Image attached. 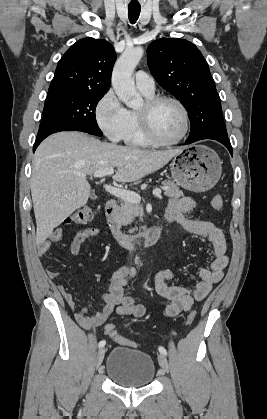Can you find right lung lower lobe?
Here are the masks:
<instances>
[{
    "mask_svg": "<svg viewBox=\"0 0 267 419\" xmlns=\"http://www.w3.org/2000/svg\"><path fill=\"white\" fill-rule=\"evenodd\" d=\"M60 131H81L77 128L69 126L66 123L56 121L49 118H42L39 131L37 134L36 141L33 146V151L36 150L37 146L50 134L60 132ZM84 132V131H82Z\"/></svg>",
    "mask_w": 267,
    "mask_h": 419,
    "instance_id": "obj_1",
    "label": "right lung lower lobe"
}]
</instances>
